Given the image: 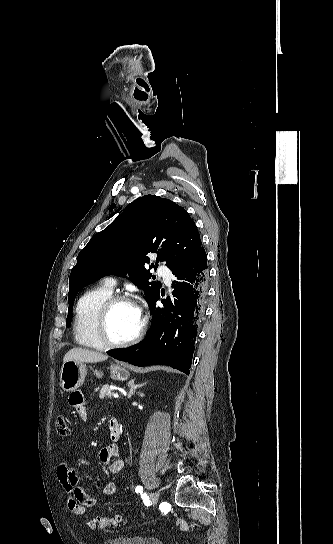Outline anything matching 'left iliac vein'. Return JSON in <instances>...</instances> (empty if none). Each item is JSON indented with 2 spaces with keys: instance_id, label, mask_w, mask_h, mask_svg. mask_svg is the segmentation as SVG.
<instances>
[{
  "instance_id": "1",
  "label": "left iliac vein",
  "mask_w": 333,
  "mask_h": 544,
  "mask_svg": "<svg viewBox=\"0 0 333 544\" xmlns=\"http://www.w3.org/2000/svg\"><path fill=\"white\" fill-rule=\"evenodd\" d=\"M158 500H159V493L158 492H153L151 494V503H152V505L153 506L156 505Z\"/></svg>"
}]
</instances>
